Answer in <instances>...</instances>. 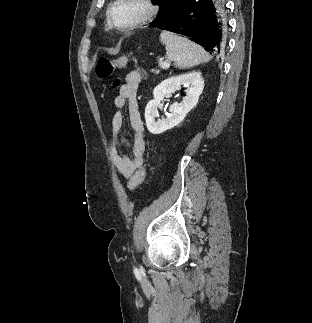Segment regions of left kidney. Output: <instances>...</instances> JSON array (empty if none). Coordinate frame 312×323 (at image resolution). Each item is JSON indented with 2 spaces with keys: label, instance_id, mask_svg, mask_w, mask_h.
I'll return each mask as SVG.
<instances>
[{
  "label": "left kidney",
  "instance_id": "obj_1",
  "mask_svg": "<svg viewBox=\"0 0 312 323\" xmlns=\"http://www.w3.org/2000/svg\"><path fill=\"white\" fill-rule=\"evenodd\" d=\"M181 86L188 88V90H185L186 96H184L182 102L180 104L175 102L170 106L169 112L171 114H168L167 118L155 120V118H159L158 108L162 106L161 102L166 94L180 90ZM203 88L204 80L201 72H188V74H182V76H171V78H167L159 86H156L153 90L154 100H150L145 108L146 126L150 134H163L166 130H171V128L183 122L186 114L196 106Z\"/></svg>",
  "mask_w": 312,
  "mask_h": 323
}]
</instances>
